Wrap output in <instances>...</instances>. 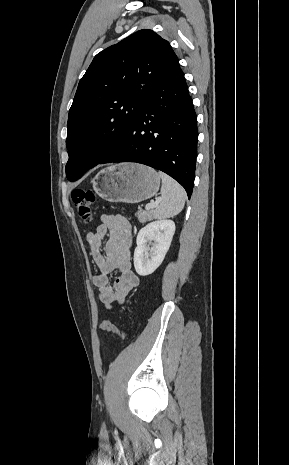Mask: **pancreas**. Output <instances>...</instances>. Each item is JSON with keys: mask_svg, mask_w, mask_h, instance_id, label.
<instances>
[{"mask_svg": "<svg viewBox=\"0 0 289 465\" xmlns=\"http://www.w3.org/2000/svg\"><path fill=\"white\" fill-rule=\"evenodd\" d=\"M136 216L138 218V220L141 222V223H145L147 222L148 220H150L152 218V211L150 210H146V211H142V210H139L137 213H136Z\"/></svg>", "mask_w": 289, "mask_h": 465, "instance_id": "1", "label": "pancreas"}]
</instances>
